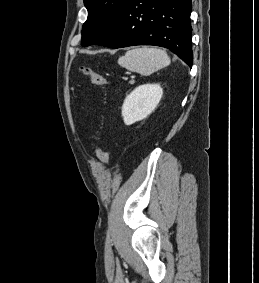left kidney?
<instances>
[{"instance_id":"left-kidney-1","label":"left kidney","mask_w":259,"mask_h":283,"mask_svg":"<svg viewBox=\"0 0 259 283\" xmlns=\"http://www.w3.org/2000/svg\"><path fill=\"white\" fill-rule=\"evenodd\" d=\"M163 95L159 84H145L136 87L124 100L122 116L126 125L148 117L157 107Z\"/></svg>"}]
</instances>
